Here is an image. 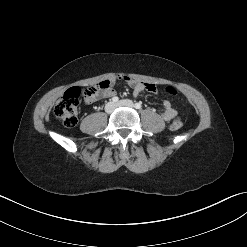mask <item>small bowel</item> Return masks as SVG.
I'll return each mask as SVG.
<instances>
[{"mask_svg":"<svg viewBox=\"0 0 247 247\" xmlns=\"http://www.w3.org/2000/svg\"><path fill=\"white\" fill-rule=\"evenodd\" d=\"M118 79L126 82L134 90V94L136 96L141 95L144 91H150V92L155 91V86L153 84H151V83L134 80V79L129 78L127 76H120ZM113 83H114L113 80H110V86H109V88L107 90H105L102 93H100L94 99L86 98V102L87 103H91V102L100 100L102 98H107V97L114 96L116 94V91H115V89L113 87ZM175 115H176V111L173 108L171 102L168 99H165L163 101V110H162V113H161L162 118L165 121H170L175 117Z\"/></svg>","mask_w":247,"mask_h":247,"instance_id":"small-bowel-1","label":"small bowel"}]
</instances>
